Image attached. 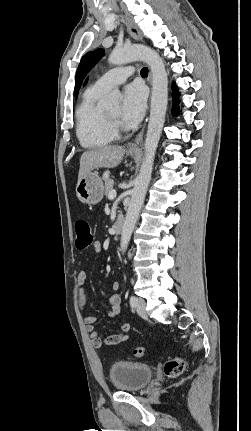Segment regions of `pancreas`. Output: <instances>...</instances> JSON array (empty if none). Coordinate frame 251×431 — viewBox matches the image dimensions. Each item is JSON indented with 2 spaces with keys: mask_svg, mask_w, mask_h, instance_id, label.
I'll use <instances>...</instances> for the list:
<instances>
[{
  "mask_svg": "<svg viewBox=\"0 0 251 431\" xmlns=\"http://www.w3.org/2000/svg\"><path fill=\"white\" fill-rule=\"evenodd\" d=\"M103 180L105 182V186H104V188H105V195L108 196L109 193L112 191L114 181L109 178V173H105L104 174Z\"/></svg>",
  "mask_w": 251,
  "mask_h": 431,
  "instance_id": "pancreas-1",
  "label": "pancreas"
}]
</instances>
